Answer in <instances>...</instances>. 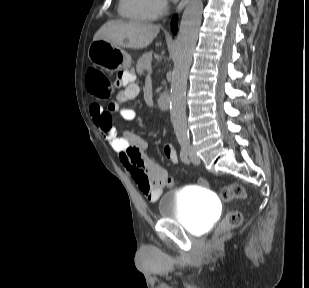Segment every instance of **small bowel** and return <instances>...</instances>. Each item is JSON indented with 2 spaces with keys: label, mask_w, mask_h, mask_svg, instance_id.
Listing matches in <instances>:
<instances>
[{
  "label": "small bowel",
  "mask_w": 309,
  "mask_h": 288,
  "mask_svg": "<svg viewBox=\"0 0 309 288\" xmlns=\"http://www.w3.org/2000/svg\"><path fill=\"white\" fill-rule=\"evenodd\" d=\"M117 83L123 89L117 94L116 101L110 102L106 110L99 104H92L90 113L100 135L119 154L120 163L139 190L149 201L155 202L167 185L168 174L146 155L145 139L131 131L116 130L113 127V114H118L126 121L137 118L133 109L124 108L122 104L134 99L139 93V87L128 75L119 76ZM163 153L170 162H178L176 150L170 144L163 146Z\"/></svg>",
  "instance_id": "c3829d8e"
}]
</instances>
